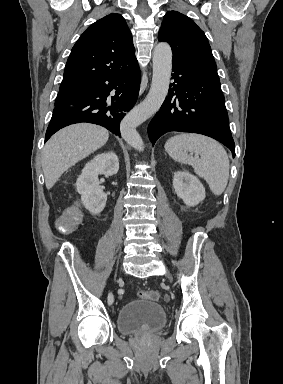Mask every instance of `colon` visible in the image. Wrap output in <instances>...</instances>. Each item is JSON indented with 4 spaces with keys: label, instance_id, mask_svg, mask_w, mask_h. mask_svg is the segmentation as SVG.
I'll return each instance as SVG.
<instances>
[{
    "label": "colon",
    "instance_id": "5ec220e1",
    "mask_svg": "<svg viewBox=\"0 0 283 384\" xmlns=\"http://www.w3.org/2000/svg\"><path fill=\"white\" fill-rule=\"evenodd\" d=\"M79 219L80 217L77 212L69 211L64 218L60 220L59 229L63 232H69L78 224ZM138 296L151 301H157L160 298V294L155 290H141L138 292Z\"/></svg>",
    "mask_w": 283,
    "mask_h": 384
}]
</instances>
